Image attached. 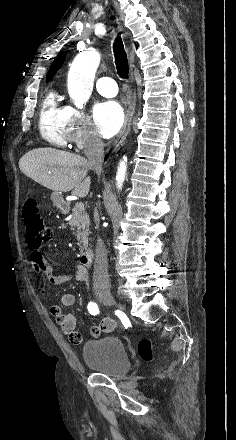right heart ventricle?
Returning <instances> with one entry per match:
<instances>
[{
    "instance_id": "1",
    "label": "right heart ventricle",
    "mask_w": 236,
    "mask_h": 440,
    "mask_svg": "<svg viewBox=\"0 0 236 440\" xmlns=\"http://www.w3.org/2000/svg\"><path fill=\"white\" fill-rule=\"evenodd\" d=\"M39 129L42 137L58 147L68 143L67 109L61 104L59 96L54 90L49 91L43 99Z\"/></svg>"
}]
</instances>
